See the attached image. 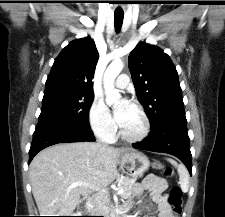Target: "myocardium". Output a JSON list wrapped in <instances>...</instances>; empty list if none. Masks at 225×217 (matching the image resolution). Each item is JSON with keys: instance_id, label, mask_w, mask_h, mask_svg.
Wrapping results in <instances>:
<instances>
[{"instance_id": "1", "label": "myocardium", "mask_w": 225, "mask_h": 217, "mask_svg": "<svg viewBox=\"0 0 225 217\" xmlns=\"http://www.w3.org/2000/svg\"><path fill=\"white\" fill-rule=\"evenodd\" d=\"M131 106L134 107L140 114L141 119H142V127H141L140 131L134 135L125 133L122 130V128L120 127L119 135L123 140H125L127 142L136 143V142L143 141L149 135L151 125H150V120H149V117H148L145 109L139 102L131 101Z\"/></svg>"}]
</instances>
